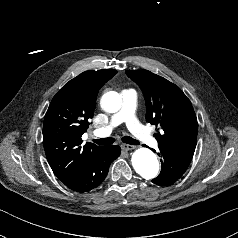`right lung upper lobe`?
I'll return each mask as SVG.
<instances>
[{
	"instance_id": "1",
	"label": "right lung upper lobe",
	"mask_w": 238,
	"mask_h": 238,
	"mask_svg": "<svg viewBox=\"0 0 238 238\" xmlns=\"http://www.w3.org/2000/svg\"><path fill=\"white\" fill-rule=\"evenodd\" d=\"M116 72L85 71L53 97L44 118L43 145L48 163L60 180L74 173L101 148L92 143L82 146L81 136L93 117L98 90Z\"/></svg>"
}]
</instances>
